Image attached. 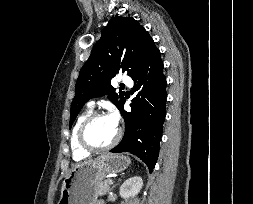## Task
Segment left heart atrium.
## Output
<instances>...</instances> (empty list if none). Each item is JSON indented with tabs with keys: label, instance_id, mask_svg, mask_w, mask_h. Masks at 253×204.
Wrapping results in <instances>:
<instances>
[{
	"label": "left heart atrium",
	"instance_id": "left-heart-atrium-1",
	"mask_svg": "<svg viewBox=\"0 0 253 204\" xmlns=\"http://www.w3.org/2000/svg\"><path fill=\"white\" fill-rule=\"evenodd\" d=\"M107 117L112 122V124L116 127H118L119 124V115L118 112L114 109L110 110Z\"/></svg>",
	"mask_w": 253,
	"mask_h": 204
}]
</instances>
